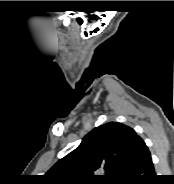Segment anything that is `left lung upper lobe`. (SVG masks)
Masks as SVG:
<instances>
[{
  "label": "left lung upper lobe",
  "instance_id": "1",
  "mask_svg": "<svg viewBox=\"0 0 174 184\" xmlns=\"http://www.w3.org/2000/svg\"><path fill=\"white\" fill-rule=\"evenodd\" d=\"M140 140L131 127L122 123L100 125L46 175L55 184L121 183Z\"/></svg>",
  "mask_w": 174,
  "mask_h": 184
}]
</instances>
